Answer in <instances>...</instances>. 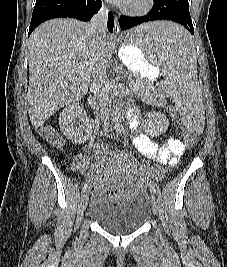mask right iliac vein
<instances>
[{"label": "right iliac vein", "instance_id": "1", "mask_svg": "<svg viewBox=\"0 0 227 267\" xmlns=\"http://www.w3.org/2000/svg\"><path fill=\"white\" fill-rule=\"evenodd\" d=\"M88 202H89V196L88 193H85L82 197V204L84 209H86Z\"/></svg>", "mask_w": 227, "mask_h": 267}]
</instances>
